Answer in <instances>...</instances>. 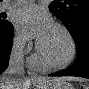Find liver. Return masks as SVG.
Returning a JSON list of instances; mask_svg holds the SVG:
<instances>
[{
	"instance_id": "6515ba94",
	"label": "liver",
	"mask_w": 89,
	"mask_h": 89,
	"mask_svg": "<svg viewBox=\"0 0 89 89\" xmlns=\"http://www.w3.org/2000/svg\"><path fill=\"white\" fill-rule=\"evenodd\" d=\"M68 80H74V78H46L35 82V84L37 85V87H39L47 83L61 84V83H65ZM7 81H11L14 84V86L17 87L15 89H28L27 87H29L27 85V80L24 77H13L6 74L1 77V89H8L6 88Z\"/></svg>"
}]
</instances>
